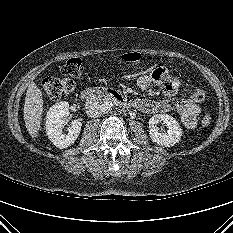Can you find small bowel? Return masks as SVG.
<instances>
[{
  "instance_id": "1",
  "label": "small bowel",
  "mask_w": 233,
  "mask_h": 233,
  "mask_svg": "<svg viewBox=\"0 0 233 233\" xmlns=\"http://www.w3.org/2000/svg\"><path fill=\"white\" fill-rule=\"evenodd\" d=\"M137 84L143 90L156 84L163 92V98L160 100L149 99L145 96L139 97L135 103L138 109L145 113H165L175 110L185 127L192 129L196 126L200 113L198 104L188 99L173 102L181 83L166 68L158 67L151 74L140 76Z\"/></svg>"
}]
</instances>
